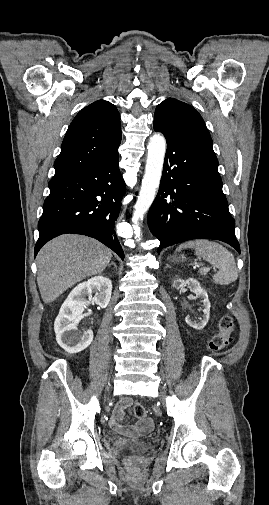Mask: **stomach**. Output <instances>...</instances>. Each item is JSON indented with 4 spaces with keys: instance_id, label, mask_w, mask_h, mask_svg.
I'll return each mask as SVG.
<instances>
[{
    "instance_id": "0dacf381",
    "label": "stomach",
    "mask_w": 269,
    "mask_h": 505,
    "mask_svg": "<svg viewBox=\"0 0 269 505\" xmlns=\"http://www.w3.org/2000/svg\"><path fill=\"white\" fill-rule=\"evenodd\" d=\"M184 255H181V259H184ZM177 258H173V260H176Z\"/></svg>"
}]
</instances>
